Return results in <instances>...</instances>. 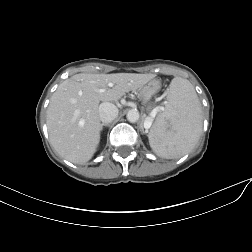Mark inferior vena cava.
I'll return each instance as SVG.
<instances>
[{
    "mask_svg": "<svg viewBox=\"0 0 252 252\" xmlns=\"http://www.w3.org/2000/svg\"><path fill=\"white\" fill-rule=\"evenodd\" d=\"M118 116V108L109 102L99 105V118L103 123H110Z\"/></svg>",
    "mask_w": 252,
    "mask_h": 252,
    "instance_id": "1",
    "label": "inferior vena cava"
}]
</instances>
